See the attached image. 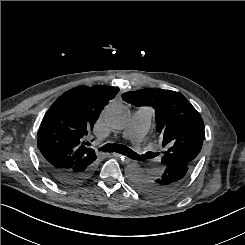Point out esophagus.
I'll return each instance as SVG.
<instances>
[{"label": "esophagus", "instance_id": "34e87169", "mask_svg": "<svg viewBox=\"0 0 245 245\" xmlns=\"http://www.w3.org/2000/svg\"><path fill=\"white\" fill-rule=\"evenodd\" d=\"M112 156L116 157V158H120L122 160V162H124V163H128L130 161V159L128 157L123 156L119 153H113Z\"/></svg>", "mask_w": 245, "mask_h": 245}]
</instances>
